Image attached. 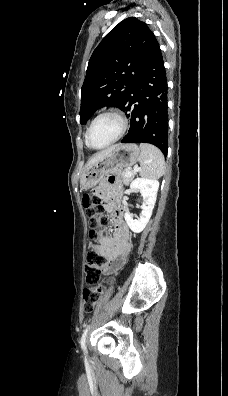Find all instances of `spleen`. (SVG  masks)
I'll list each match as a JSON object with an SVG mask.
<instances>
[{"instance_id": "obj_1", "label": "spleen", "mask_w": 228, "mask_h": 396, "mask_svg": "<svg viewBox=\"0 0 228 396\" xmlns=\"http://www.w3.org/2000/svg\"><path fill=\"white\" fill-rule=\"evenodd\" d=\"M139 174L150 179H159L164 174L165 161L162 152L154 145L141 143Z\"/></svg>"}]
</instances>
